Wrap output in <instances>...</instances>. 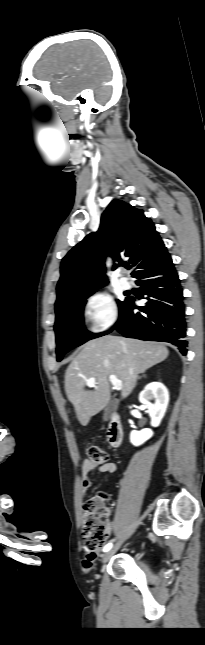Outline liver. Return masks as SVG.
<instances>
[{
    "mask_svg": "<svg viewBox=\"0 0 205 645\" xmlns=\"http://www.w3.org/2000/svg\"><path fill=\"white\" fill-rule=\"evenodd\" d=\"M168 354L161 344L110 335L85 343L65 373V392L80 424L86 426L109 404L110 375L122 381L124 399L135 387L138 374L164 361ZM92 377L96 384L88 390L86 381Z\"/></svg>",
    "mask_w": 205,
    "mask_h": 645,
    "instance_id": "liver-1",
    "label": "liver"
}]
</instances>
